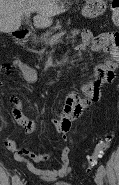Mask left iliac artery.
Returning <instances> with one entry per match:
<instances>
[{
    "mask_svg": "<svg viewBox=\"0 0 119 185\" xmlns=\"http://www.w3.org/2000/svg\"><path fill=\"white\" fill-rule=\"evenodd\" d=\"M98 171H100L104 175L105 174V167L103 165H100L98 168Z\"/></svg>",
    "mask_w": 119,
    "mask_h": 185,
    "instance_id": "44dca946",
    "label": "left iliac artery"
}]
</instances>
